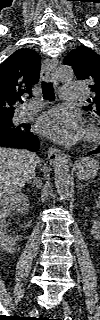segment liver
Masks as SVG:
<instances>
[{"label": "liver", "mask_w": 100, "mask_h": 320, "mask_svg": "<svg viewBox=\"0 0 100 320\" xmlns=\"http://www.w3.org/2000/svg\"><path fill=\"white\" fill-rule=\"evenodd\" d=\"M38 157L30 151L0 148V197L15 194L35 175Z\"/></svg>", "instance_id": "liver-1"}]
</instances>
